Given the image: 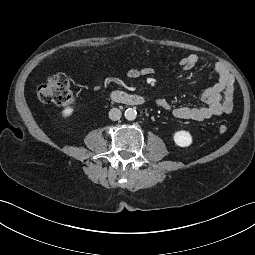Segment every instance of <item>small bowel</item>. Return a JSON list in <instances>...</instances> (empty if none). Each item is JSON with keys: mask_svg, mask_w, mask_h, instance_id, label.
<instances>
[{"mask_svg": "<svg viewBox=\"0 0 255 255\" xmlns=\"http://www.w3.org/2000/svg\"><path fill=\"white\" fill-rule=\"evenodd\" d=\"M199 63V57L196 54H189L183 57L178 65L183 70H191ZM214 70L218 75V82L212 87L206 89L202 94L203 106L172 107L165 98H158L156 105L161 109L172 113V115L181 120H192L201 122L212 117L230 114L234 107L235 80L229 69L221 62L214 64ZM154 73L151 67L132 69L127 73L128 78L135 79L141 76H149Z\"/></svg>", "mask_w": 255, "mask_h": 255, "instance_id": "small-bowel-1", "label": "small bowel"}]
</instances>
